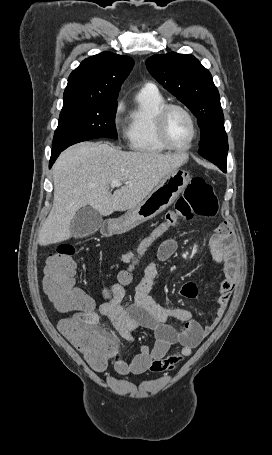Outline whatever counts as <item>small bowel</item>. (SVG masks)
<instances>
[{"mask_svg":"<svg viewBox=\"0 0 272 455\" xmlns=\"http://www.w3.org/2000/svg\"><path fill=\"white\" fill-rule=\"evenodd\" d=\"M209 247L213 259L222 265L223 279L218 286L219 296L216 300L213 319L206 325H201L194 320L189 310L166 309L154 300L150 293L158 272L156 262L149 263L145 268L144 275L135 288L134 302L127 307L122 305L127 284L116 280L107 285L98 311L110 320L118 334L124 340L131 342L135 330L147 329L155 337L154 345L152 347L143 345L131 361L116 360L115 366L121 375L173 370L178 362L189 356L192 349L197 347L220 322L238 275L235 243L228 224L219 225L209 240ZM177 248L178 243L175 239L164 240L157 250L158 260H167ZM137 249L138 246L123 253L119 257V262L129 263ZM197 293V287L192 282L185 283L180 289V294L188 299H194ZM172 319L183 322V326L174 328L169 323ZM173 346H177L178 350L169 353Z\"/></svg>","mask_w":272,"mask_h":455,"instance_id":"obj_1","label":"small bowel"}]
</instances>
